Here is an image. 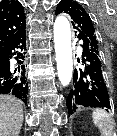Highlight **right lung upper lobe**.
<instances>
[{
    "instance_id": "cb5924a9",
    "label": "right lung upper lobe",
    "mask_w": 117,
    "mask_h": 136,
    "mask_svg": "<svg viewBox=\"0 0 117 136\" xmlns=\"http://www.w3.org/2000/svg\"><path fill=\"white\" fill-rule=\"evenodd\" d=\"M25 24L23 6L18 1L0 2V48Z\"/></svg>"
}]
</instances>
